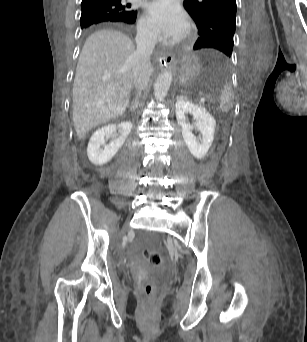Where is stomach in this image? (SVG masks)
I'll use <instances>...</instances> for the list:
<instances>
[{"label": "stomach", "mask_w": 307, "mask_h": 342, "mask_svg": "<svg viewBox=\"0 0 307 342\" xmlns=\"http://www.w3.org/2000/svg\"><path fill=\"white\" fill-rule=\"evenodd\" d=\"M195 58L191 55L182 57L175 61V65L179 66V82L181 85H189L195 75Z\"/></svg>", "instance_id": "1"}]
</instances>
